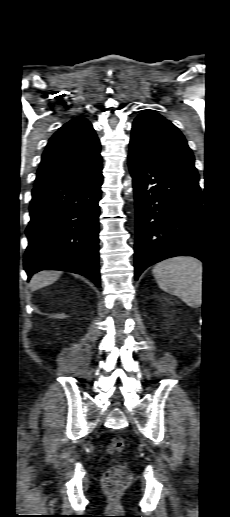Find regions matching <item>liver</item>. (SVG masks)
I'll list each match as a JSON object with an SVG mask.
<instances>
[{
	"label": "liver",
	"instance_id": "obj_1",
	"mask_svg": "<svg viewBox=\"0 0 230 517\" xmlns=\"http://www.w3.org/2000/svg\"><path fill=\"white\" fill-rule=\"evenodd\" d=\"M61 275L60 271L44 270L36 273L30 280L31 289L37 290L46 287L59 279Z\"/></svg>",
	"mask_w": 230,
	"mask_h": 517
}]
</instances>
